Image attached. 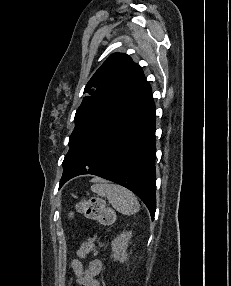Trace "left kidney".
<instances>
[{"label":"left kidney","instance_id":"obj_1","mask_svg":"<svg viewBox=\"0 0 231 286\" xmlns=\"http://www.w3.org/2000/svg\"><path fill=\"white\" fill-rule=\"evenodd\" d=\"M131 238L132 232L125 231L112 241L111 246L115 261H120L123 263L128 259L126 251Z\"/></svg>","mask_w":231,"mask_h":286}]
</instances>
